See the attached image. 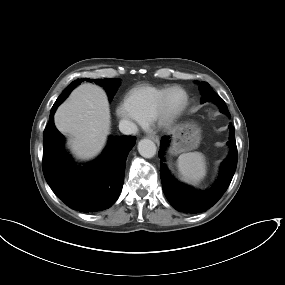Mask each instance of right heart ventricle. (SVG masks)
Returning a JSON list of instances; mask_svg holds the SVG:
<instances>
[{"label":"right heart ventricle","mask_w":285,"mask_h":285,"mask_svg":"<svg viewBox=\"0 0 285 285\" xmlns=\"http://www.w3.org/2000/svg\"><path fill=\"white\" fill-rule=\"evenodd\" d=\"M168 87L138 86L125 95L124 102L140 123H150Z\"/></svg>","instance_id":"1"}]
</instances>
